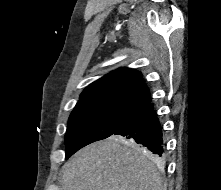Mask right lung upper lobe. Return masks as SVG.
Here are the masks:
<instances>
[{"mask_svg":"<svg viewBox=\"0 0 221 190\" xmlns=\"http://www.w3.org/2000/svg\"><path fill=\"white\" fill-rule=\"evenodd\" d=\"M150 101V91L142 74L134 69L120 68L90 84L76 106L116 104L137 110Z\"/></svg>","mask_w":221,"mask_h":190,"instance_id":"1","label":"right lung upper lobe"}]
</instances>
